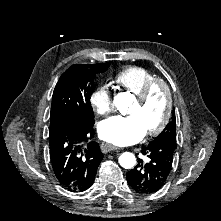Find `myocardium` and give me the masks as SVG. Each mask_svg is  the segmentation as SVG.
Listing matches in <instances>:
<instances>
[{
    "mask_svg": "<svg viewBox=\"0 0 221 221\" xmlns=\"http://www.w3.org/2000/svg\"><path fill=\"white\" fill-rule=\"evenodd\" d=\"M158 88L163 89L165 92L166 110L159 124L155 126L154 128H151L148 131H146V135L150 137L156 136L159 133H161L167 127L171 119L172 111H173V98H172V92H171L170 86L164 80L157 78L147 83V85L143 88L140 94H138L136 97L137 103L140 106H144L149 100L152 93Z\"/></svg>",
    "mask_w": 221,
    "mask_h": 221,
    "instance_id": "1",
    "label": "myocardium"
}]
</instances>
